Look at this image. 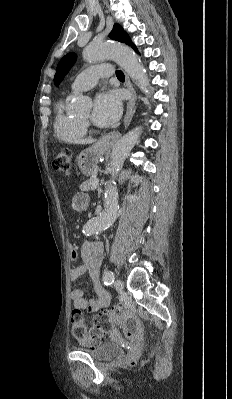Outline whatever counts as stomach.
<instances>
[{
  "mask_svg": "<svg viewBox=\"0 0 232 399\" xmlns=\"http://www.w3.org/2000/svg\"><path fill=\"white\" fill-rule=\"evenodd\" d=\"M108 150H104L101 140L93 144L91 148H86L83 150L79 156H77V164L84 176H91L93 174L94 168H96L100 158H103Z\"/></svg>",
  "mask_w": 232,
  "mask_h": 399,
  "instance_id": "1",
  "label": "stomach"
}]
</instances>
